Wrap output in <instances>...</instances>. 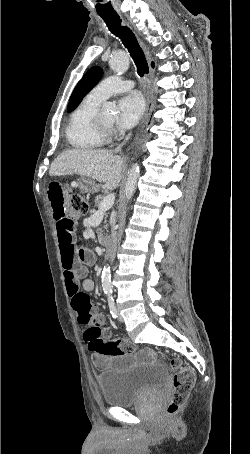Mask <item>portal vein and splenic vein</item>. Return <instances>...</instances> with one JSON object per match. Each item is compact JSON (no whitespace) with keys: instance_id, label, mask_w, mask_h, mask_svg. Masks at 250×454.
<instances>
[{"instance_id":"18ae733b","label":"portal vein and splenic vein","mask_w":250,"mask_h":454,"mask_svg":"<svg viewBox=\"0 0 250 454\" xmlns=\"http://www.w3.org/2000/svg\"><path fill=\"white\" fill-rule=\"evenodd\" d=\"M115 201V195L114 194H108L103 198L101 201L100 205L98 206V211L95 213L100 214L108 211L114 204Z\"/></svg>"}]
</instances>
